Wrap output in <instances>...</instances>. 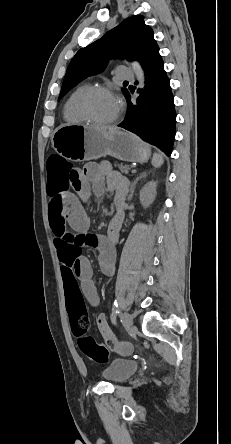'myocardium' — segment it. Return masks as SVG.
Segmentation results:
<instances>
[{"instance_id": "1", "label": "myocardium", "mask_w": 231, "mask_h": 444, "mask_svg": "<svg viewBox=\"0 0 231 444\" xmlns=\"http://www.w3.org/2000/svg\"><path fill=\"white\" fill-rule=\"evenodd\" d=\"M96 93H108L113 95L117 99L119 108L117 114L113 118L106 121H98L91 116L88 110V101ZM77 110L80 116L85 120V122H89L91 124L100 125V126H106V125H112L119 120L122 113V104L120 103L119 99L116 97L114 91L111 88L100 85L91 86L86 91H84V93L79 98L77 104Z\"/></svg>"}]
</instances>
